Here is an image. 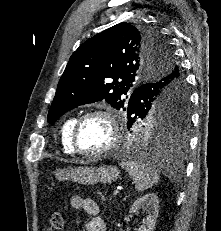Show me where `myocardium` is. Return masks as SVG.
I'll return each instance as SVG.
<instances>
[{"instance_id":"f54148a6","label":"myocardium","mask_w":221,"mask_h":231,"mask_svg":"<svg viewBox=\"0 0 221 231\" xmlns=\"http://www.w3.org/2000/svg\"><path fill=\"white\" fill-rule=\"evenodd\" d=\"M94 116H102L107 120L111 129V137L108 145H106L104 148L94 152L83 151L78 145V132L82 123L86 119ZM120 139H121V132H120L119 119L117 114L110 108H94L84 112L75 120L71 132V145L74 152L88 158L101 157L110 153L111 151L117 148Z\"/></svg>"}]
</instances>
